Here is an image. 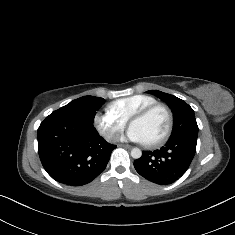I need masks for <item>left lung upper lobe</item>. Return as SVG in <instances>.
I'll list each match as a JSON object with an SVG mask.
<instances>
[{
	"label": "left lung upper lobe",
	"instance_id": "5c2ea615",
	"mask_svg": "<svg viewBox=\"0 0 235 235\" xmlns=\"http://www.w3.org/2000/svg\"><path fill=\"white\" fill-rule=\"evenodd\" d=\"M151 93L165 101L173 112V130L170 138L190 137L197 139L198 126L193 109L183 100L174 95L158 90H150Z\"/></svg>",
	"mask_w": 235,
	"mask_h": 235
}]
</instances>
